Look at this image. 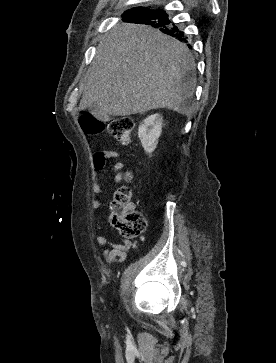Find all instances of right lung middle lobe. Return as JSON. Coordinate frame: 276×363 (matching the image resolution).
<instances>
[{
  "instance_id": "dd1d6c3e",
  "label": "right lung middle lobe",
  "mask_w": 276,
  "mask_h": 363,
  "mask_svg": "<svg viewBox=\"0 0 276 363\" xmlns=\"http://www.w3.org/2000/svg\"><path fill=\"white\" fill-rule=\"evenodd\" d=\"M147 10H149V8H144V7L132 8L130 10L125 11L122 17L137 16L139 14L144 13Z\"/></svg>"
}]
</instances>
